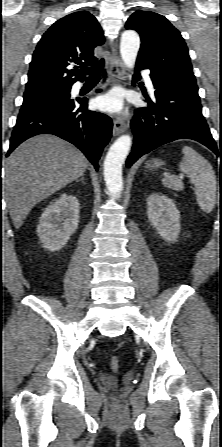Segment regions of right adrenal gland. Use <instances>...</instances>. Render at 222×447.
Here are the masks:
<instances>
[{
    "mask_svg": "<svg viewBox=\"0 0 222 447\" xmlns=\"http://www.w3.org/2000/svg\"><path fill=\"white\" fill-rule=\"evenodd\" d=\"M77 181H81L83 184H86L84 175H82V177L79 180H77Z\"/></svg>",
    "mask_w": 222,
    "mask_h": 447,
    "instance_id": "obj_1",
    "label": "right adrenal gland"
}]
</instances>
